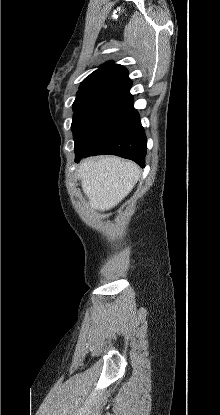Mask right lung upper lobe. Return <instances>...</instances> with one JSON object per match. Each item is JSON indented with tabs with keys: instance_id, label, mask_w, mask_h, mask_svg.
<instances>
[{
	"instance_id": "1",
	"label": "right lung upper lobe",
	"mask_w": 220,
	"mask_h": 415,
	"mask_svg": "<svg viewBox=\"0 0 220 415\" xmlns=\"http://www.w3.org/2000/svg\"><path fill=\"white\" fill-rule=\"evenodd\" d=\"M104 79H113L129 85H132L131 79L128 77L127 69L119 64L108 63L102 65L99 69L91 73L86 77L83 83L104 80Z\"/></svg>"
}]
</instances>
